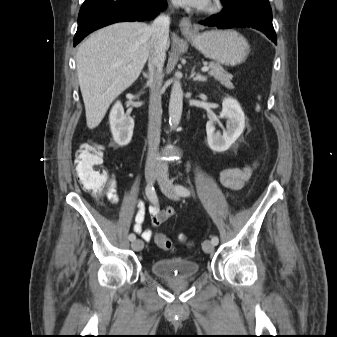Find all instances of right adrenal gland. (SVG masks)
I'll list each match as a JSON object with an SVG mask.
<instances>
[{
  "mask_svg": "<svg viewBox=\"0 0 337 337\" xmlns=\"http://www.w3.org/2000/svg\"><path fill=\"white\" fill-rule=\"evenodd\" d=\"M143 76H144L145 78L148 77L147 73H144V72H143Z\"/></svg>",
  "mask_w": 337,
  "mask_h": 337,
  "instance_id": "1",
  "label": "right adrenal gland"
}]
</instances>
